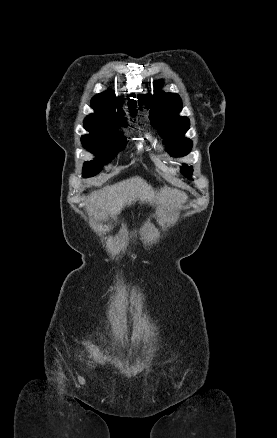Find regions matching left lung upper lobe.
<instances>
[{"instance_id":"obj_1","label":"left lung upper lobe","mask_w":277,"mask_h":438,"mask_svg":"<svg viewBox=\"0 0 277 438\" xmlns=\"http://www.w3.org/2000/svg\"><path fill=\"white\" fill-rule=\"evenodd\" d=\"M162 83V80L160 81ZM157 87H161V83ZM139 101H145L151 108L149 119L152 126L157 128L159 134L164 138L163 143L166 150L173 156L180 157L187 155L192 148V141L185 138L184 134L189 129V119L179 116L182 109V101L175 93H165L159 88L154 95L139 96ZM192 167L181 166V173L191 178Z\"/></svg>"}]
</instances>
